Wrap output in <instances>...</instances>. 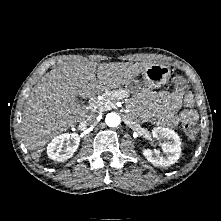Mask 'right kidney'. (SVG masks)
<instances>
[{
	"mask_svg": "<svg viewBox=\"0 0 221 221\" xmlns=\"http://www.w3.org/2000/svg\"><path fill=\"white\" fill-rule=\"evenodd\" d=\"M79 143L80 137L76 133L60 134L48 144V157L56 161H65L73 156Z\"/></svg>",
	"mask_w": 221,
	"mask_h": 221,
	"instance_id": "right-kidney-1",
	"label": "right kidney"
}]
</instances>
